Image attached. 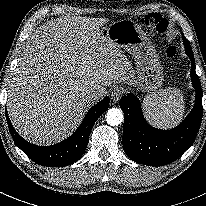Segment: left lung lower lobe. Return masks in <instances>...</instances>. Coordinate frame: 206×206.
Listing matches in <instances>:
<instances>
[{"instance_id": "obj_1", "label": "left lung lower lobe", "mask_w": 206, "mask_h": 206, "mask_svg": "<svg viewBox=\"0 0 206 206\" xmlns=\"http://www.w3.org/2000/svg\"><path fill=\"white\" fill-rule=\"evenodd\" d=\"M184 42L186 38L183 37ZM186 54L191 60L192 84L196 89L193 111L176 128L159 130L150 126L143 117L140 102L133 94L119 102L124 112L123 147L127 156L139 164L162 166L178 159L194 142L202 120V89L195 71L191 49Z\"/></svg>"}]
</instances>
